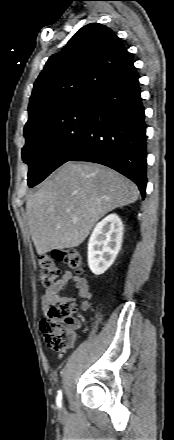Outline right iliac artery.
Returning <instances> with one entry per match:
<instances>
[{"mask_svg":"<svg viewBox=\"0 0 174 440\" xmlns=\"http://www.w3.org/2000/svg\"><path fill=\"white\" fill-rule=\"evenodd\" d=\"M61 400H62V392L60 390V391H58V395H57V398H56L57 406L59 408L61 407Z\"/></svg>","mask_w":174,"mask_h":440,"instance_id":"right-iliac-artery-1","label":"right iliac artery"}]
</instances>
